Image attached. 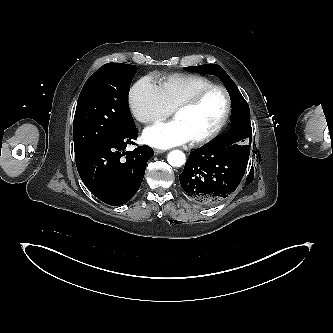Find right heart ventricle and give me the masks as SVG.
I'll use <instances>...</instances> for the list:
<instances>
[{
	"instance_id": "e07e8e85",
	"label": "right heart ventricle",
	"mask_w": 333,
	"mask_h": 333,
	"mask_svg": "<svg viewBox=\"0 0 333 333\" xmlns=\"http://www.w3.org/2000/svg\"><path fill=\"white\" fill-rule=\"evenodd\" d=\"M213 85L205 76L198 74H172L160 79L158 87L168 107L174 108L202 88Z\"/></svg>"
}]
</instances>
